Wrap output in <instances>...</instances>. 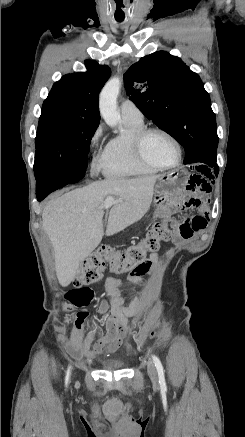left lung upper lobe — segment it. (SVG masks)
I'll return each instance as SVG.
<instances>
[{
	"instance_id": "obj_1",
	"label": "left lung upper lobe",
	"mask_w": 245,
	"mask_h": 437,
	"mask_svg": "<svg viewBox=\"0 0 245 437\" xmlns=\"http://www.w3.org/2000/svg\"><path fill=\"white\" fill-rule=\"evenodd\" d=\"M124 86L140 111L184 147L185 164H216L218 136L210 96L199 75L180 58L163 51L147 55L124 74Z\"/></svg>"
}]
</instances>
